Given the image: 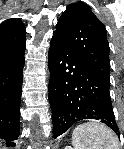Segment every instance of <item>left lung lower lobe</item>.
<instances>
[{"label": "left lung lower lobe", "mask_w": 124, "mask_h": 149, "mask_svg": "<svg viewBox=\"0 0 124 149\" xmlns=\"http://www.w3.org/2000/svg\"><path fill=\"white\" fill-rule=\"evenodd\" d=\"M48 66L55 139L83 119L98 120L120 137L110 98V81L97 74L55 32L48 52Z\"/></svg>", "instance_id": "obj_1"}]
</instances>
